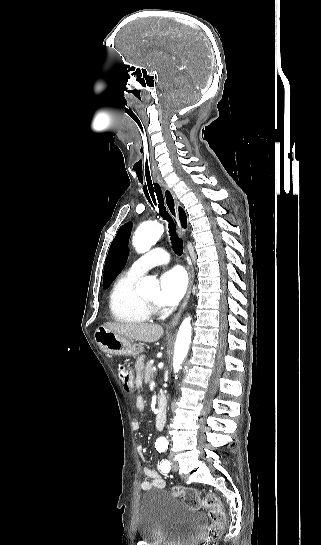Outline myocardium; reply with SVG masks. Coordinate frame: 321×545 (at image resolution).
<instances>
[{
  "instance_id": "myocardium-1",
  "label": "myocardium",
  "mask_w": 321,
  "mask_h": 545,
  "mask_svg": "<svg viewBox=\"0 0 321 545\" xmlns=\"http://www.w3.org/2000/svg\"><path fill=\"white\" fill-rule=\"evenodd\" d=\"M137 298H138L140 304L142 305V307L145 308L147 311H149V312L155 311L156 307L154 305L147 304L142 299H140L138 296H137Z\"/></svg>"
}]
</instances>
